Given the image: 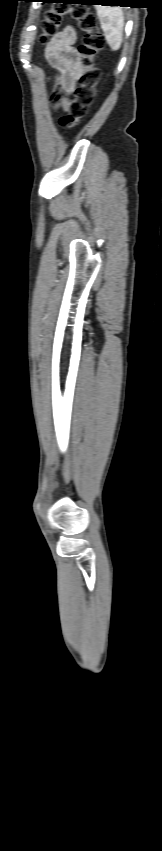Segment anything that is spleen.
<instances>
[{"instance_id":"obj_1","label":"spleen","mask_w":162,"mask_h":851,"mask_svg":"<svg viewBox=\"0 0 162 851\" xmlns=\"http://www.w3.org/2000/svg\"><path fill=\"white\" fill-rule=\"evenodd\" d=\"M96 11L108 45L112 50L120 49L124 28L123 11L120 7L100 5L96 7Z\"/></svg>"}]
</instances>
